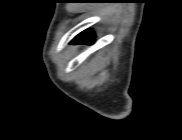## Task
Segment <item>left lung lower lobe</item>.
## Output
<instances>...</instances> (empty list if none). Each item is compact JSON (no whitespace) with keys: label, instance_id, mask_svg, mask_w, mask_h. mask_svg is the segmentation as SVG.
<instances>
[{"label":"left lung lower lobe","instance_id":"0a47b994","mask_svg":"<svg viewBox=\"0 0 182 140\" xmlns=\"http://www.w3.org/2000/svg\"><path fill=\"white\" fill-rule=\"evenodd\" d=\"M72 44L86 43L92 44L94 43V33L91 30H85L78 34L73 41Z\"/></svg>","mask_w":182,"mask_h":140}]
</instances>
